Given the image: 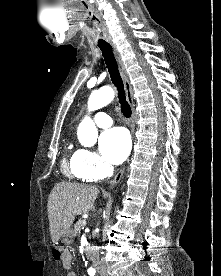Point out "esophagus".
<instances>
[{"mask_svg": "<svg viewBox=\"0 0 221 276\" xmlns=\"http://www.w3.org/2000/svg\"><path fill=\"white\" fill-rule=\"evenodd\" d=\"M112 49H113V53L115 55L117 64H118V69H119V73L120 76L123 80V84L125 87V92H126V98L129 102V104L131 105L132 109L134 108V102H133V90H132V86L129 82L126 70H125V66L124 63L122 61L121 55L119 53V51L117 50L116 45L113 42H110ZM134 113H133V122H134ZM125 172V167L121 168L119 170V172L116 174V176L114 177V179L110 182V187L118 184L120 182V180L122 179L123 175Z\"/></svg>", "mask_w": 221, "mask_h": 276, "instance_id": "obj_1", "label": "esophagus"}]
</instances>
